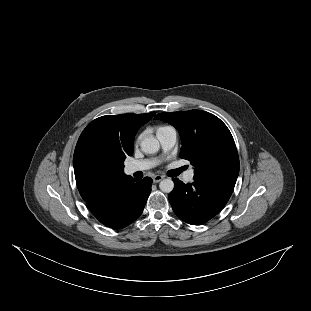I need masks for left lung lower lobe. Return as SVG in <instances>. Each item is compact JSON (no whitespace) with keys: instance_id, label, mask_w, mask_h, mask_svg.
<instances>
[{"instance_id":"left-lung-lower-lobe-1","label":"left lung lower lobe","mask_w":311,"mask_h":311,"mask_svg":"<svg viewBox=\"0 0 311 311\" xmlns=\"http://www.w3.org/2000/svg\"><path fill=\"white\" fill-rule=\"evenodd\" d=\"M169 201L175 214L186 223L202 225L218 214L229 200L235 183L229 180L194 179L184 184L173 179Z\"/></svg>"}]
</instances>
